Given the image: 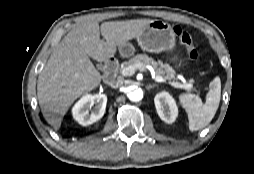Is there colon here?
I'll return each instance as SVG.
<instances>
[{
    "instance_id": "1",
    "label": "colon",
    "mask_w": 254,
    "mask_h": 174,
    "mask_svg": "<svg viewBox=\"0 0 254 174\" xmlns=\"http://www.w3.org/2000/svg\"><path fill=\"white\" fill-rule=\"evenodd\" d=\"M174 31L180 43L185 48L188 58L191 61H196L198 59L199 53L194 45L191 35L187 31L181 29L180 27H175Z\"/></svg>"
}]
</instances>
